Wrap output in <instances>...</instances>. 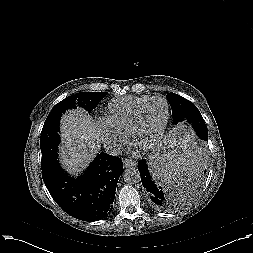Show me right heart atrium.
Instances as JSON below:
<instances>
[{
	"label": "right heart atrium",
	"instance_id": "1",
	"mask_svg": "<svg viewBox=\"0 0 253 253\" xmlns=\"http://www.w3.org/2000/svg\"><path fill=\"white\" fill-rule=\"evenodd\" d=\"M98 128L103 143L109 150H118L126 142L125 135L116 132L106 120H100Z\"/></svg>",
	"mask_w": 253,
	"mask_h": 253
}]
</instances>
